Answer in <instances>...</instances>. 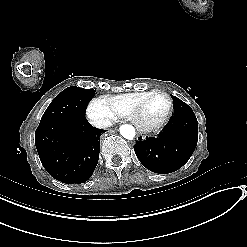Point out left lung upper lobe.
<instances>
[{
    "label": "left lung upper lobe",
    "mask_w": 247,
    "mask_h": 247,
    "mask_svg": "<svg viewBox=\"0 0 247 247\" xmlns=\"http://www.w3.org/2000/svg\"><path fill=\"white\" fill-rule=\"evenodd\" d=\"M173 101H174V114L181 113V112H188L192 111L190 106H188L186 103H184L179 98L171 95Z\"/></svg>",
    "instance_id": "obj_1"
}]
</instances>
